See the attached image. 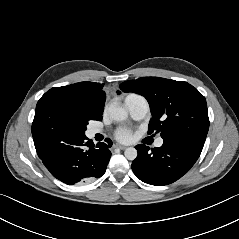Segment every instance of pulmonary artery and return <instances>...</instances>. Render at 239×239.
<instances>
[{
    "label": "pulmonary artery",
    "instance_id": "pulmonary-artery-1",
    "mask_svg": "<svg viewBox=\"0 0 239 239\" xmlns=\"http://www.w3.org/2000/svg\"><path fill=\"white\" fill-rule=\"evenodd\" d=\"M125 106L128 109L130 115L135 119V120H141L146 117V115L149 112V103L148 101L140 95L137 94H131L128 95L125 98ZM100 133V130L97 128H91L88 131V134L90 136H94L95 134ZM163 144V139L159 138L156 141V146L160 147Z\"/></svg>",
    "mask_w": 239,
    "mask_h": 239
}]
</instances>
